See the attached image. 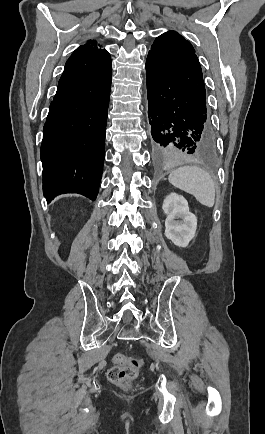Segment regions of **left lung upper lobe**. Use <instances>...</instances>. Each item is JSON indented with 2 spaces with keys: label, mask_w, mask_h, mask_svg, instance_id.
Segmentation results:
<instances>
[{
  "label": "left lung upper lobe",
  "mask_w": 265,
  "mask_h": 434,
  "mask_svg": "<svg viewBox=\"0 0 265 434\" xmlns=\"http://www.w3.org/2000/svg\"><path fill=\"white\" fill-rule=\"evenodd\" d=\"M148 55L169 69L202 103L206 91L201 66L191 43L175 31L155 39Z\"/></svg>",
  "instance_id": "obj_1"
}]
</instances>
